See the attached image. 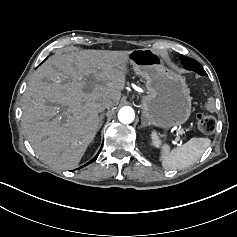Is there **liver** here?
Returning <instances> with one entry per match:
<instances>
[{
  "label": "liver",
  "mask_w": 237,
  "mask_h": 237,
  "mask_svg": "<svg viewBox=\"0 0 237 237\" xmlns=\"http://www.w3.org/2000/svg\"><path fill=\"white\" fill-rule=\"evenodd\" d=\"M130 53L54 55L34 73L22 98L21 122L41 161L65 170L78 166L97 134L101 102L119 103Z\"/></svg>",
  "instance_id": "obj_1"
}]
</instances>
